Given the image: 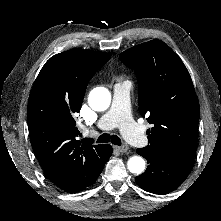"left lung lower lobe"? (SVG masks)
<instances>
[{
	"mask_svg": "<svg viewBox=\"0 0 221 221\" xmlns=\"http://www.w3.org/2000/svg\"><path fill=\"white\" fill-rule=\"evenodd\" d=\"M137 153L147 159L149 166L135 181L142 189L154 194H167L178 188L194 165V159L183 156L152 152L145 148L137 149Z\"/></svg>",
	"mask_w": 221,
	"mask_h": 221,
	"instance_id": "left-lung-lower-lobe-1",
	"label": "left lung lower lobe"
}]
</instances>
